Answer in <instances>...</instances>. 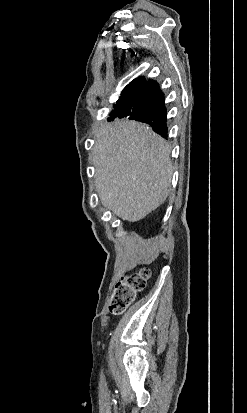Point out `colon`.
I'll return each mask as SVG.
<instances>
[{
  "label": "colon",
  "mask_w": 247,
  "mask_h": 413,
  "mask_svg": "<svg viewBox=\"0 0 247 413\" xmlns=\"http://www.w3.org/2000/svg\"><path fill=\"white\" fill-rule=\"evenodd\" d=\"M151 270L141 267L134 273L127 274L120 280L114 289V296L110 304V311L114 315L123 313L132 305L137 292L145 289Z\"/></svg>",
  "instance_id": "1"
}]
</instances>
